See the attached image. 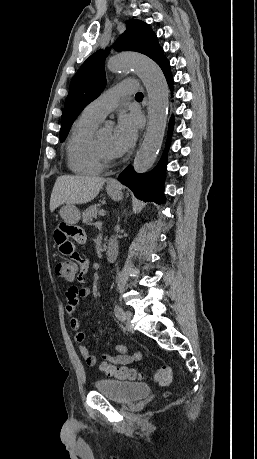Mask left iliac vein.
I'll return each instance as SVG.
<instances>
[{
    "instance_id": "obj_1",
    "label": "left iliac vein",
    "mask_w": 257,
    "mask_h": 459,
    "mask_svg": "<svg viewBox=\"0 0 257 459\" xmlns=\"http://www.w3.org/2000/svg\"><path fill=\"white\" fill-rule=\"evenodd\" d=\"M132 318V312L130 311H125L124 312V320H125V325L128 331L133 332V327L130 323Z\"/></svg>"
}]
</instances>
